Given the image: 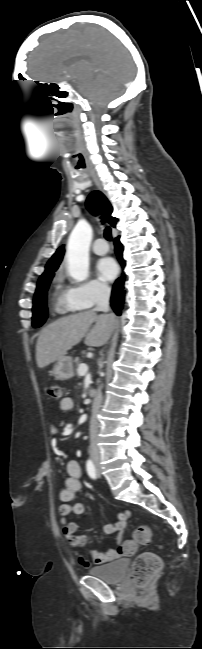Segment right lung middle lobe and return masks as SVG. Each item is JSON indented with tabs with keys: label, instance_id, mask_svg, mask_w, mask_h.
Instances as JSON below:
<instances>
[{
	"label": "right lung middle lobe",
	"instance_id": "dd1d6c3e",
	"mask_svg": "<svg viewBox=\"0 0 202 649\" xmlns=\"http://www.w3.org/2000/svg\"><path fill=\"white\" fill-rule=\"evenodd\" d=\"M53 276L54 273L52 272L47 275L41 276L38 280L32 308V325L34 328L42 326L48 317L46 299L47 291Z\"/></svg>",
	"mask_w": 202,
	"mask_h": 649
}]
</instances>
